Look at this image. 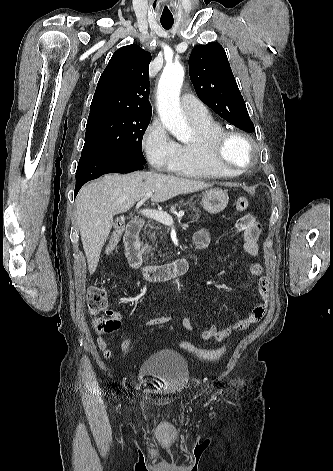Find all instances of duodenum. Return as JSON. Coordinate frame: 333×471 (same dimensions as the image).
Listing matches in <instances>:
<instances>
[{"label":"duodenum","mask_w":333,"mask_h":471,"mask_svg":"<svg viewBox=\"0 0 333 471\" xmlns=\"http://www.w3.org/2000/svg\"><path fill=\"white\" fill-rule=\"evenodd\" d=\"M142 221L135 219L129 222L126 228L124 243L130 265L143 274L149 282H161L174 276L186 273L191 267V260L187 257L177 259L163 265H146L140 249L139 234Z\"/></svg>","instance_id":"duodenum-1"}]
</instances>
